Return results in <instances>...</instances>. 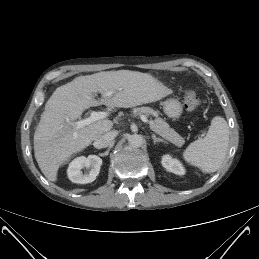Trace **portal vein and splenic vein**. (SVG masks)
Listing matches in <instances>:
<instances>
[{"instance_id": "1", "label": "portal vein and splenic vein", "mask_w": 259, "mask_h": 259, "mask_svg": "<svg viewBox=\"0 0 259 259\" xmlns=\"http://www.w3.org/2000/svg\"><path fill=\"white\" fill-rule=\"evenodd\" d=\"M112 94H113L112 92H107L105 94V96H111ZM106 116H108L107 112L93 111L88 118H85V119H82L79 121H75V122L68 121V124L73 126L76 130H78V129H81L87 125H90L100 119L106 118ZM140 118L144 123H146V124L148 123V119L145 115H140Z\"/></svg>"}]
</instances>
